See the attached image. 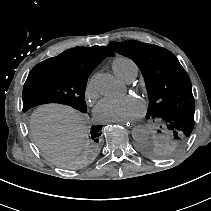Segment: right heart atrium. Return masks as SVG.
Returning a JSON list of instances; mask_svg holds the SVG:
<instances>
[{
  "instance_id": "d8ad5b80",
  "label": "right heart atrium",
  "mask_w": 211,
  "mask_h": 211,
  "mask_svg": "<svg viewBox=\"0 0 211 211\" xmlns=\"http://www.w3.org/2000/svg\"><path fill=\"white\" fill-rule=\"evenodd\" d=\"M99 91L96 84V76L92 75L84 86V96L88 102L94 101L98 97Z\"/></svg>"
}]
</instances>
